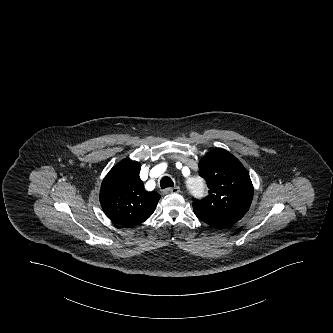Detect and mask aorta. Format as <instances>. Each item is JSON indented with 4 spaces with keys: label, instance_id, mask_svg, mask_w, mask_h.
Masks as SVG:
<instances>
[{
    "label": "aorta",
    "instance_id": "1",
    "mask_svg": "<svg viewBox=\"0 0 333 333\" xmlns=\"http://www.w3.org/2000/svg\"><path fill=\"white\" fill-rule=\"evenodd\" d=\"M189 190L193 197L195 198H203L207 194V185L205 179L199 175H192L189 183Z\"/></svg>",
    "mask_w": 333,
    "mask_h": 333
}]
</instances>
